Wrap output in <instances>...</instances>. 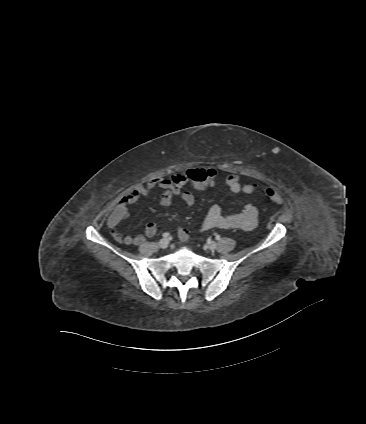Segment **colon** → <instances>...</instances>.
Segmentation results:
<instances>
[{
    "label": "colon",
    "mask_w": 366,
    "mask_h": 424,
    "mask_svg": "<svg viewBox=\"0 0 366 424\" xmlns=\"http://www.w3.org/2000/svg\"><path fill=\"white\" fill-rule=\"evenodd\" d=\"M185 175H186V178L189 181H191L195 187H201L213 176V173L210 170L195 169V170H189L188 172L185 173ZM255 189H256L255 185H252V184L244 185V191L247 194L253 193ZM265 193L275 203L280 205L283 204L282 196L274 188L272 187L265 188Z\"/></svg>",
    "instance_id": "obj_1"
}]
</instances>
